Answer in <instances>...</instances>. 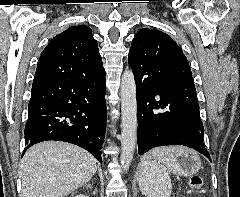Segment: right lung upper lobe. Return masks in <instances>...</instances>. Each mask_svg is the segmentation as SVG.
<instances>
[{"mask_svg": "<svg viewBox=\"0 0 240 197\" xmlns=\"http://www.w3.org/2000/svg\"><path fill=\"white\" fill-rule=\"evenodd\" d=\"M92 30L73 26L55 36L39 58L33 84L55 79H82L103 72Z\"/></svg>", "mask_w": 240, "mask_h": 197, "instance_id": "cb5924a9", "label": "right lung upper lobe"}]
</instances>
